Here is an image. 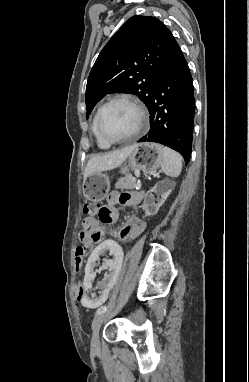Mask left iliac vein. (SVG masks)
I'll return each mask as SVG.
<instances>
[{
    "instance_id": "obj_1",
    "label": "left iliac vein",
    "mask_w": 249,
    "mask_h": 382,
    "mask_svg": "<svg viewBox=\"0 0 249 382\" xmlns=\"http://www.w3.org/2000/svg\"><path fill=\"white\" fill-rule=\"evenodd\" d=\"M106 318V313L102 312L97 314L92 322V339L91 346L93 351H98L100 349V340H99V329Z\"/></svg>"
}]
</instances>
